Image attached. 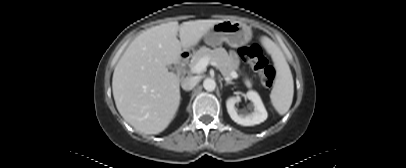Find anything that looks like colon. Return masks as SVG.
Instances as JSON below:
<instances>
[{
	"label": "colon",
	"mask_w": 406,
	"mask_h": 168,
	"mask_svg": "<svg viewBox=\"0 0 406 168\" xmlns=\"http://www.w3.org/2000/svg\"><path fill=\"white\" fill-rule=\"evenodd\" d=\"M241 59L249 63L261 77L264 86H272L275 79V69L271 66L264 56L261 47L258 44L243 46L239 49Z\"/></svg>",
	"instance_id": "obj_1"
}]
</instances>
